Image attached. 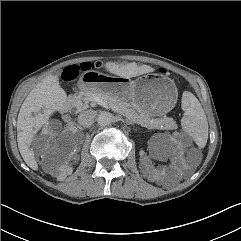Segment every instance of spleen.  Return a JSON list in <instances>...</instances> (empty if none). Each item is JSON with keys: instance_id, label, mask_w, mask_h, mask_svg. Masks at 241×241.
I'll return each instance as SVG.
<instances>
[{"instance_id": "spleen-1", "label": "spleen", "mask_w": 241, "mask_h": 241, "mask_svg": "<svg viewBox=\"0 0 241 241\" xmlns=\"http://www.w3.org/2000/svg\"><path fill=\"white\" fill-rule=\"evenodd\" d=\"M182 109L186 117L182 119V129L198 145L204 148L208 139V122L198 99L190 92L182 95Z\"/></svg>"}]
</instances>
